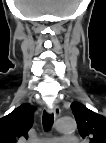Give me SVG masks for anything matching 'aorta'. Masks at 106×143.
<instances>
[{"label": "aorta", "mask_w": 106, "mask_h": 143, "mask_svg": "<svg viewBox=\"0 0 106 143\" xmlns=\"http://www.w3.org/2000/svg\"><path fill=\"white\" fill-rule=\"evenodd\" d=\"M76 123L70 117L61 118L57 123V130L62 133H71L75 130Z\"/></svg>", "instance_id": "1"}]
</instances>
